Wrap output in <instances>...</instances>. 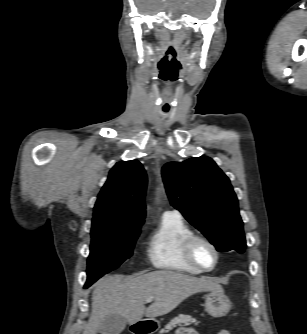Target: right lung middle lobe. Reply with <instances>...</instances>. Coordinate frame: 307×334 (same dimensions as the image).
Returning a JSON list of instances; mask_svg holds the SVG:
<instances>
[{
    "label": "right lung middle lobe",
    "instance_id": "obj_1",
    "mask_svg": "<svg viewBox=\"0 0 307 334\" xmlns=\"http://www.w3.org/2000/svg\"><path fill=\"white\" fill-rule=\"evenodd\" d=\"M140 227L141 225H108L91 229L86 288L132 256Z\"/></svg>",
    "mask_w": 307,
    "mask_h": 334
}]
</instances>
